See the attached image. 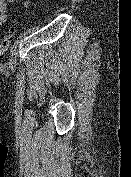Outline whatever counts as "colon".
Wrapping results in <instances>:
<instances>
[{
  "label": "colon",
  "mask_w": 131,
  "mask_h": 177,
  "mask_svg": "<svg viewBox=\"0 0 131 177\" xmlns=\"http://www.w3.org/2000/svg\"><path fill=\"white\" fill-rule=\"evenodd\" d=\"M15 37V31H8L5 36L0 40V57L3 56L9 49L13 39Z\"/></svg>",
  "instance_id": "5ec220e1"
}]
</instances>
